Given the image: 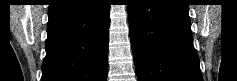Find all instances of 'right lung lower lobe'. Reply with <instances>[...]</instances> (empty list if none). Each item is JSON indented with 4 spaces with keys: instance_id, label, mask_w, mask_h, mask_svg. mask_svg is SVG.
I'll return each instance as SVG.
<instances>
[{
    "instance_id": "obj_1",
    "label": "right lung lower lobe",
    "mask_w": 237,
    "mask_h": 81,
    "mask_svg": "<svg viewBox=\"0 0 237 81\" xmlns=\"http://www.w3.org/2000/svg\"><path fill=\"white\" fill-rule=\"evenodd\" d=\"M109 12L106 0L49 6L41 81H106Z\"/></svg>"
}]
</instances>
